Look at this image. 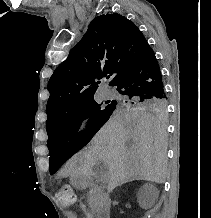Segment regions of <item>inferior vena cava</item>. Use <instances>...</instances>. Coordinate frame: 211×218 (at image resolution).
<instances>
[{"label":"inferior vena cava","mask_w":211,"mask_h":218,"mask_svg":"<svg viewBox=\"0 0 211 218\" xmlns=\"http://www.w3.org/2000/svg\"><path fill=\"white\" fill-rule=\"evenodd\" d=\"M114 186H117V182H109V188H114Z\"/></svg>","instance_id":"602c4592"}]
</instances>
